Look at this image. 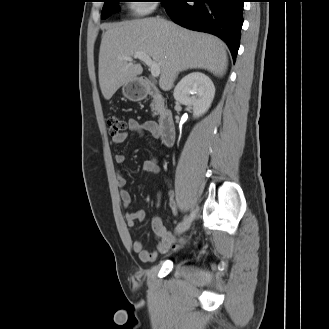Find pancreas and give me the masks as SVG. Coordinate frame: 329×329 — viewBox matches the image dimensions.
<instances>
[{
	"instance_id": "pancreas-1",
	"label": "pancreas",
	"mask_w": 329,
	"mask_h": 329,
	"mask_svg": "<svg viewBox=\"0 0 329 329\" xmlns=\"http://www.w3.org/2000/svg\"><path fill=\"white\" fill-rule=\"evenodd\" d=\"M150 106H151V110L153 112V116L157 115L158 114V108H157L156 102L152 101Z\"/></svg>"
}]
</instances>
